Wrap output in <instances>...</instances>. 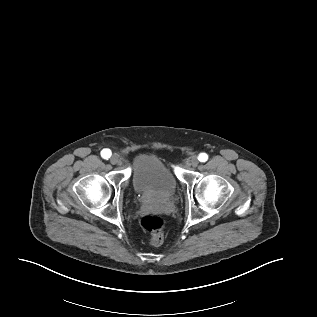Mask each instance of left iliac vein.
<instances>
[{"label":"left iliac vein","mask_w":317,"mask_h":317,"mask_svg":"<svg viewBox=\"0 0 317 317\" xmlns=\"http://www.w3.org/2000/svg\"><path fill=\"white\" fill-rule=\"evenodd\" d=\"M188 164L192 167H197V165L199 164L198 158L196 156H192Z\"/></svg>","instance_id":"obj_1"}]
</instances>
